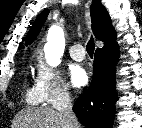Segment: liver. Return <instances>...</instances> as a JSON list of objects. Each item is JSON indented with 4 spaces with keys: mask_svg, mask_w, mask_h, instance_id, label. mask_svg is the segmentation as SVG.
<instances>
[{
    "mask_svg": "<svg viewBox=\"0 0 142 128\" xmlns=\"http://www.w3.org/2000/svg\"><path fill=\"white\" fill-rule=\"evenodd\" d=\"M12 128H67V123L63 116L52 108L28 107L16 115Z\"/></svg>",
    "mask_w": 142,
    "mask_h": 128,
    "instance_id": "6515ba94",
    "label": "liver"
}]
</instances>
